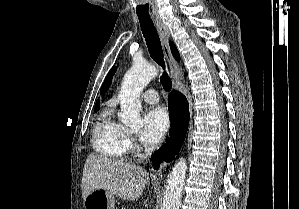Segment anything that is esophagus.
<instances>
[{"mask_svg": "<svg viewBox=\"0 0 299 209\" xmlns=\"http://www.w3.org/2000/svg\"><path fill=\"white\" fill-rule=\"evenodd\" d=\"M152 19L160 35L163 50H164V55L170 67V75H171L173 87L174 89H178L179 83L181 81V68L179 64L175 61L170 50V46H169L170 31L160 17L156 16L153 17ZM164 165H165L164 163L161 164V169L164 167ZM161 169L156 173V176L158 178L162 177Z\"/></svg>", "mask_w": 299, "mask_h": 209, "instance_id": "34e87169", "label": "esophagus"}]
</instances>
